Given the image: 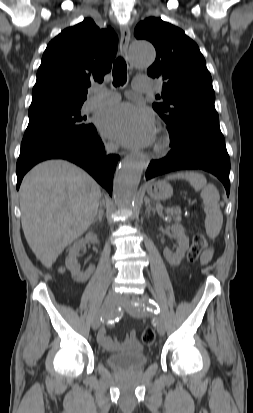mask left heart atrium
I'll return each instance as SVG.
<instances>
[{
    "label": "left heart atrium",
    "instance_id": "1",
    "mask_svg": "<svg viewBox=\"0 0 253 413\" xmlns=\"http://www.w3.org/2000/svg\"><path fill=\"white\" fill-rule=\"evenodd\" d=\"M100 131L126 146H140L154 138L155 122L147 109L120 104L105 111L98 120Z\"/></svg>",
    "mask_w": 253,
    "mask_h": 413
}]
</instances>
